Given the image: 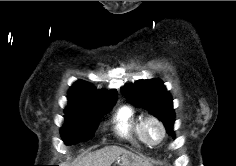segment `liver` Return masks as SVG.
<instances>
[{
	"mask_svg": "<svg viewBox=\"0 0 236 166\" xmlns=\"http://www.w3.org/2000/svg\"><path fill=\"white\" fill-rule=\"evenodd\" d=\"M133 155L124 148L118 146H109L100 149L96 152L89 153L78 161H75L72 166H111L114 161L120 159V156ZM132 166H151L148 161L133 155Z\"/></svg>",
	"mask_w": 236,
	"mask_h": 166,
	"instance_id": "1",
	"label": "liver"
}]
</instances>
